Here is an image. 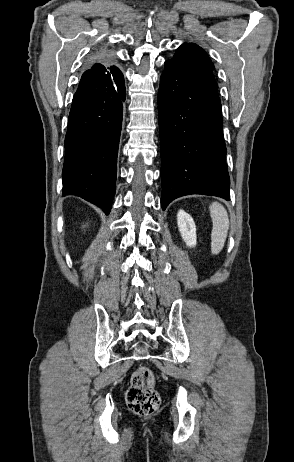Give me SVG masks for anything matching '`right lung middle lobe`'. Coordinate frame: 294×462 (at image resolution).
Here are the masks:
<instances>
[{
  "label": "right lung middle lobe",
  "mask_w": 294,
  "mask_h": 462,
  "mask_svg": "<svg viewBox=\"0 0 294 462\" xmlns=\"http://www.w3.org/2000/svg\"><path fill=\"white\" fill-rule=\"evenodd\" d=\"M101 52H106V51H105L104 49L99 50V51H98V54L101 53Z\"/></svg>",
  "instance_id": "obj_1"
}]
</instances>
